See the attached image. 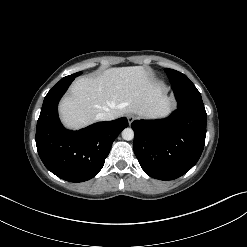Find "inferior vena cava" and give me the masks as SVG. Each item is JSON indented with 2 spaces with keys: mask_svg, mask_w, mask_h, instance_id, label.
I'll return each mask as SVG.
<instances>
[{
  "mask_svg": "<svg viewBox=\"0 0 247 247\" xmlns=\"http://www.w3.org/2000/svg\"><path fill=\"white\" fill-rule=\"evenodd\" d=\"M96 118L97 120H101V121H111L115 119V116L111 112H103V113H99L96 116Z\"/></svg>",
  "mask_w": 247,
  "mask_h": 247,
  "instance_id": "1",
  "label": "inferior vena cava"
}]
</instances>
